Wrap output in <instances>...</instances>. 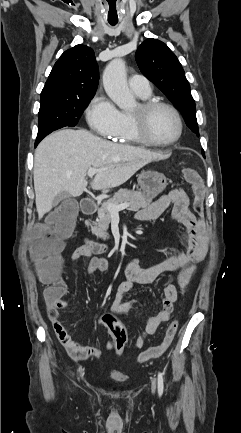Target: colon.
<instances>
[{
  "mask_svg": "<svg viewBox=\"0 0 241 433\" xmlns=\"http://www.w3.org/2000/svg\"><path fill=\"white\" fill-rule=\"evenodd\" d=\"M185 178L192 184L194 191L193 207L196 213L203 211L204 186L193 169H184ZM81 213V206L76 200H59L56 212L49 216L48 225L41 232H36L31 244V256L37 265L40 279L48 285L44 291L47 302L59 298L64 290L65 283L60 277V253L63 240L67 238L74 226V214ZM190 277L187 274L179 276V287L182 292L187 289ZM104 328L109 329L113 336V348L116 354L121 355L127 347V335L120 315L104 312L101 315ZM178 328L177 321H173L167 328L162 342L142 351L138 356L139 362H145L160 357L174 340Z\"/></svg>",
  "mask_w": 241,
  "mask_h": 433,
  "instance_id": "1",
  "label": "colon"
}]
</instances>
